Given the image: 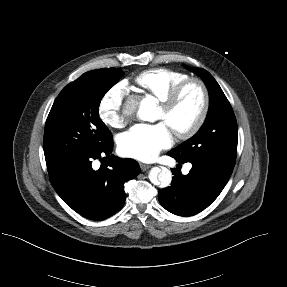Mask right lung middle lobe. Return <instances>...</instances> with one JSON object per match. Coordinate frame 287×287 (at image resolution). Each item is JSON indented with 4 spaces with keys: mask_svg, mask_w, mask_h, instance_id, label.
Listing matches in <instances>:
<instances>
[{
    "mask_svg": "<svg viewBox=\"0 0 287 287\" xmlns=\"http://www.w3.org/2000/svg\"><path fill=\"white\" fill-rule=\"evenodd\" d=\"M122 75L119 68L89 71L60 92L45 124L47 165L98 150L112 139L98 109L102 97Z\"/></svg>",
    "mask_w": 287,
    "mask_h": 287,
    "instance_id": "1",
    "label": "right lung middle lobe"
}]
</instances>
